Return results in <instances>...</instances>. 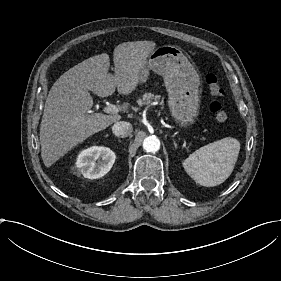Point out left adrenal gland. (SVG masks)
<instances>
[{"instance_id":"obj_1","label":"left adrenal gland","mask_w":281,"mask_h":281,"mask_svg":"<svg viewBox=\"0 0 281 281\" xmlns=\"http://www.w3.org/2000/svg\"><path fill=\"white\" fill-rule=\"evenodd\" d=\"M173 143H174V145H175V149L177 150V149H178V144H177V142H176L175 139H173Z\"/></svg>"}]
</instances>
